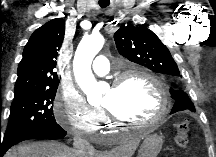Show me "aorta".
Listing matches in <instances>:
<instances>
[{
    "label": "aorta",
    "mask_w": 216,
    "mask_h": 157,
    "mask_svg": "<svg viewBox=\"0 0 216 157\" xmlns=\"http://www.w3.org/2000/svg\"><path fill=\"white\" fill-rule=\"evenodd\" d=\"M103 45L104 38L101 35L84 37L77 47L73 60L75 79L91 104L101 102L102 87L92 73L91 64Z\"/></svg>",
    "instance_id": "aorta-1"
}]
</instances>
